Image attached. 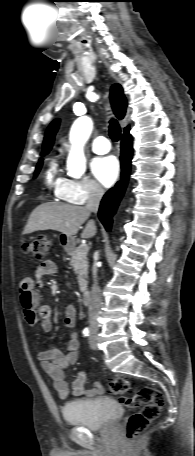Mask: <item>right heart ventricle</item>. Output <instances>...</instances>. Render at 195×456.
<instances>
[{
	"label": "right heart ventricle",
	"instance_id": "1",
	"mask_svg": "<svg viewBox=\"0 0 195 456\" xmlns=\"http://www.w3.org/2000/svg\"><path fill=\"white\" fill-rule=\"evenodd\" d=\"M66 180L67 179L59 173L57 161H51L45 171L44 181L46 186L60 199H62L61 190Z\"/></svg>",
	"mask_w": 195,
	"mask_h": 456
}]
</instances>
